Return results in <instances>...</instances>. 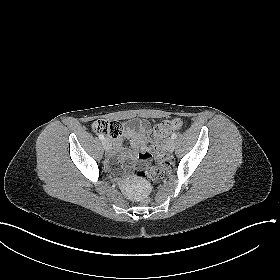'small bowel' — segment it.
<instances>
[{
  "instance_id": "c3829d8e",
  "label": "small bowel",
  "mask_w": 280,
  "mask_h": 280,
  "mask_svg": "<svg viewBox=\"0 0 280 280\" xmlns=\"http://www.w3.org/2000/svg\"><path fill=\"white\" fill-rule=\"evenodd\" d=\"M150 123L145 119H134L128 121L122 127V133L113 140V149L108 152V161L111 162L115 156H118L119 161L140 162L145 163L150 158V147L148 141V133ZM130 139L131 148L127 149L124 146V139Z\"/></svg>"
}]
</instances>
